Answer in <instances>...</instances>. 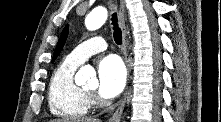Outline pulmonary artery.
Segmentation results:
<instances>
[{"instance_id": "e3ab8cb5", "label": "pulmonary artery", "mask_w": 221, "mask_h": 122, "mask_svg": "<svg viewBox=\"0 0 221 122\" xmlns=\"http://www.w3.org/2000/svg\"><path fill=\"white\" fill-rule=\"evenodd\" d=\"M107 43L101 36L92 37L75 47L69 57L78 63H83L90 56L104 51Z\"/></svg>"}]
</instances>
